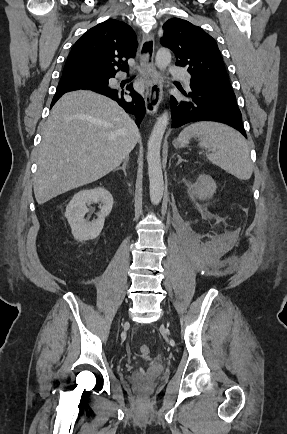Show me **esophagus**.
Returning a JSON list of instances; mask_svg holds the SVG:
<instances>
[{
    "label": "esophagus",
    "instance_id": "1",
    "mask_svg": "<svg viewBox=\"0 0 287 434\" xmlns=\"http://www.w3.org/2000/svg\"><path fill=\"white\" fill-rule=\"evenodd\" d=\"M154 47V36L143 34L139 58L145 84V107L149 114L157 112L163 95L162 80L154 65Z\"/></svg>",
    "mask_w": 287,
    "mask_h": 434
}]
</instances>
